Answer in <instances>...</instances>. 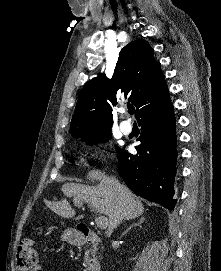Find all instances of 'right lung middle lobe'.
Listing matches in <instances>:
<instances>
[{
    "mask_svg": "<svg viewBox=\"0 0 221 271\" xmlns=\"http://www.w3.org/2000/svg\"><path fill=\"white\" fill-rule=\"evenodd\" d=\"M77 138H82V141L86 142L88 145H94L101 142H106L111 138V132L110 130L92 133L83 135ZM121 149L117 147V152H119Z\"/></svg>",
    "mask_w": 221,
    "mask_h": 271,
    "instance_id": "obj_1",
    "label": "right lung middle lobe"
}]
</instances>
